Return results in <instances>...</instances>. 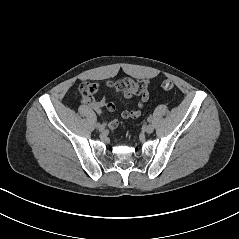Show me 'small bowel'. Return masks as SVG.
<instances>
[{"instance_id":"obj_1","label":"small bowel","mask_w":239,"mask_h":239,"mask_svg":"<svg viewBox=\"0 0 239 239\" xmlns=\"http://www.w3.org/2000/svg\"><path fill=\"white\" fill-rule=\"evenodd\" d=\"M92 86L95 90L90 96L86 97L82 95L84 103L89 105L97 112H102V109L106 108L110 112L118 113L124 119H135L140 117L142 114L143 106L148 100V81L146 80L135 81L131 78H124L116 82L107 81L105 83V86L107 88L114 91L123 92L125 98L127 99H130L134 96H140L136 106L131 110L119 109L117 105L114 102L110 101L107 97L96 99L94 97V94L97 91L98 86L95 84H92ZM107 122L108 126L112 129L117 128L119 125V121L116 118H110Z\"/></svg>"}]
</instances>
